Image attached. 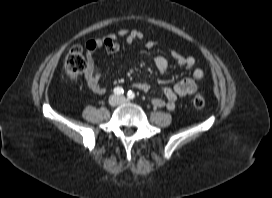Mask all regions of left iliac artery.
<instances>
[{
  "mask_svg": "<svg viewBox=\"0 0 272 198\" xmlns=\"http://www.w3.org/2000/svg\"><path fill=\"white\" fill-rule=\"evenodd\" d=\"M127 97H128V99H134V97H135L134 92H132V91H128V93H127Z\"/></svg>",
  "mask_w": 272,
  "mask_h": 198,
  "instance_id": "44dca946",
  "label": "left iliac artery"
}]
</instances>
